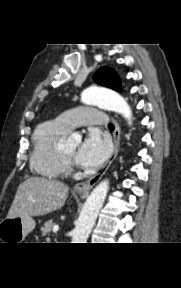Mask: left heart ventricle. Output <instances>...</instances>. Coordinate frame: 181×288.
Listing matches in <instances>:
<instances>
[{"label": "left heart ventricle", "instance_id": "b2bd125f", "mask_svg": "<svg viewBox=\"0 0 181 288\" xmlns=\"http://www.w3.org/2000/svg\"><path fill=\"white\" fill-rule=\"evenodd\" d=\"M76 149H77V145H72V146H69V147L63 149V152L66 155H68V156L73 158L75 156V154H76Z\"/></svg>", "mask_w": 181, "mask_h": 288}]
</instances>
